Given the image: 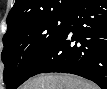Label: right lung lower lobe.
Here are the masks:
<instances>
[{
	"instance_id": "98d812e1",
	"label": "right lung lower lobe",
	"mask_w": 107,
	"mask_h": 89,
	"mask_svg": "<svg viewBox=\"0 0 107 89\" xmlns=\"http://www.w3.org/2000/svg\"><path fill=\"white\" fill-rule=\"evenodd\" d=\"M75 74L107 86V1L80 0L70 11L61 37L34 75Z\"/></svg>"
}]
</instances>
